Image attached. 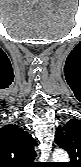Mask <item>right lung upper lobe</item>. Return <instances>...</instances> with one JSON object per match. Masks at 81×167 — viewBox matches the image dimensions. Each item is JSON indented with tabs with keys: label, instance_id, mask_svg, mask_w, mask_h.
<instances>
[{
	"label": "right lung upper lobe",
	"instance_id": "1",
	"mask_svg": "<svg viewBox=\"0 0 81 167\" xmlns=\"http://www.w3.org/2000/svg\"><path fill=\"white\" fill-rule=\"evenodd\" d=\"M37 141L16 125L0 128V167H35Z\"/></svg>",
	"mask_w": 81,
	"mask_h": 167
}]
</instances>
